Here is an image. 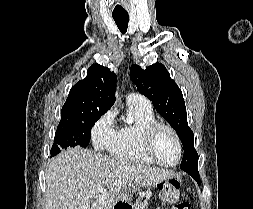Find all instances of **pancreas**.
<instances>
[{
	"label": "pancreas",
	"instance_id": "obj_1",
	"mask_svg": "<svg viewBox=\"0 0 253 209\" xmlns=\"http://www.w3.org/2000/svg\"><path fill=\"white\" fill-rule=\"evenodd\" d=\"M147 199L143 201V198H138L135 202L134 209H147Z\"/></svg>",
	"mask_w": 253,
	"mask_h": 209
}]
</instances>
